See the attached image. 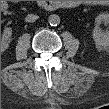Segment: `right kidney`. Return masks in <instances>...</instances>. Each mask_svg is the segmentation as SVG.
I'll return each mask as SVG.
<instances>
[{"label":"right kidney","instance_id":"obj_1","mask_svg":"<svg viewBox=\"0 0 109 109\" xmlns=\"http://www.w3.org/2000/svg\"><path fill=\"white\" fill-rule=\"evenodd\" d=\"M11 35H12V29L6 28L1 36L2 51L6 50L9 47Z\"/></svg>","mask_w":109,"mask_h":109}]
</instances>
